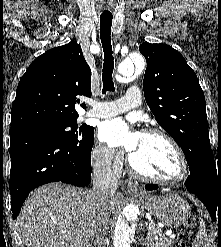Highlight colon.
Instances as JSON below:
<instances>
[{"label":"colon","instance_id":"obj_1","mask_svg":"<svg viewBox=\"0 0 221 247\" xmlns=\"http://www.w3.org/2000/svg\"><path fill=\"white\" fill-rule=\"evenodd\" d=\"M177 247H185L183 241H178Z\"/></svg>","mask_w":221,"mask_h":247}]
</instances>
